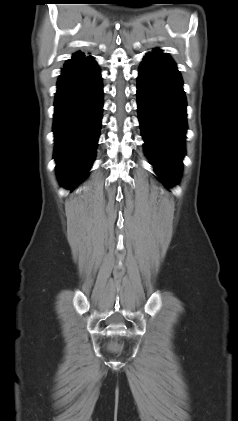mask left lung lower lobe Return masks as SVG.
Returning a JSON list of instances; mask_svg holds the SVG:
<instances>
[{"mask_svg": "<svg viewBox=\"0 0 238 421\" xmlns=\"http://www.w3.org/2000/svg\"><path fill=\"white\" fill-rule=\"evenodd\" d=\"M175 62L159 50L143 59L137 104L144 151L167 185L178 182L185 154L186 98Z\"/></svg>", "mask_w": 238, "mask_h": 421, "instance_id": "obj_1", "label": "left lung lower lobe"}]
</instances>
